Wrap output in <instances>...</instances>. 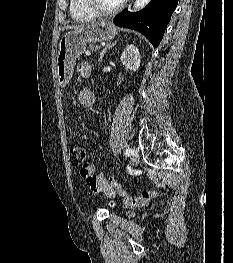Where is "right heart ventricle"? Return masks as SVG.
I'll list each match as a JSON object with an SVG mask.
<instances>
[{
    "label": "right heart ventricle",
    "mask_w": 233,
    "mask_h": 263,
    "mask_svg": "<svg viewBox=\"0 0 233 263\" xmlns=\"http://www.w3.org/2000/svg\"><path fill=\"white\" fill-rule=\"evenodd\" d=\"M70 13L74 20L86 22L95 16L86 8L84 0H70Z\"/></svg>",
    "instance_id": "e07e8e85"
}]
</instances>
